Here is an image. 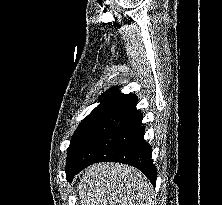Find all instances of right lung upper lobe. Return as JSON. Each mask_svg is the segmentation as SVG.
<instances>
[{"label":"right lung upper lobe","mask_w":222,"mask_h":205,"mask_svg":"<svg viewBox=\"0 0 222 205\" xmlns=\"http://www.w3.org/2000/svg\"><path fill=\"white\" fill-rule=\"evenodd\" d=\"M131 96L132 94H122L117 87H112L100 97L101 103L92 112H109Z\"/></svg>","instance_id":"obj_1"}]
</instances>
